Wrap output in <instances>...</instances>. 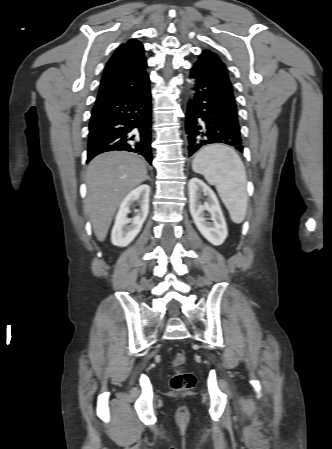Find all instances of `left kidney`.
Returning <instances> with one entry per match:
<instances>
[{
  "mask_svg": "<svg viewBox=\"0 0 332 449\" xmlns=\"http://www.w3.org/2000/svg\"><path fill=\"white\" fill-rule=\"evenodd\" d=\"M189 209L194 223L200 233L213 245H221L228 235L227 225L223 216L219 201L213 190L199 178H192L188 183ZM206 197L202 205L200 199ZM207 211L212 222L205 218Z\"/></svg>",
  "mask_w": 332,
  "mask_h": 449,
  "instance_id": "1",
  "label": "left kidney"
}]
</instances>
